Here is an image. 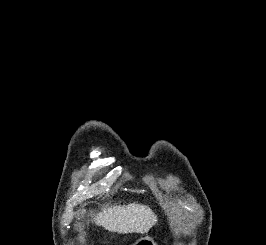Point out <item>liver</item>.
Instances as JSON below:
<instances>
[{
	"mask_svg": "<svg viewBox=\"0 0 266 245\" xmlns=\"http://www.w3.org/2000/svg\"><path fill=\"white\" fill-rule=\"evenodd\" d=\"M95 225L104 227L110 233H149L157 223V217L146 205H112L105 207L102 213H97Z\"/></svg>",
	"mask_w": 266,
	"mask_h": 245,
	"instance_id": "6515ba94",
	"label": "liver"
}]
</instances>
